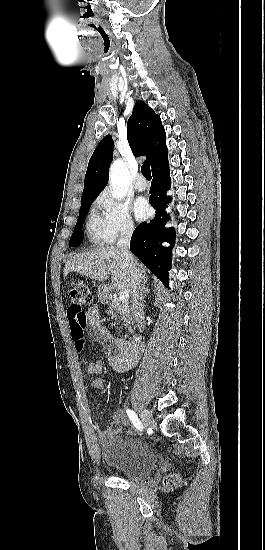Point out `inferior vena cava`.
I'll return each mask as SVG.
<instances>
[{
  "label": "inferior vena cava",
  "instance_id": "1",
  "mask_svg": "<svg viewBox=\"0 0 265 550\" xmlns=\"http://www.w3.org/2000/svg\"><path fill=\"white\" fill-rule=\"evenodd\" d=\"M134 230L133 224H127L121 231L120 237L117 241V248L121 252L126 265L129 268V274L131 277V295L132 306L134 310V318L137 323L138 329L144 328V316L142 310V303L140 299V279L137 271L134 257L129 251V244Z\"/></svg>",
  "mask_w": 265,
  "mask_h": 550
}]
</instances>
